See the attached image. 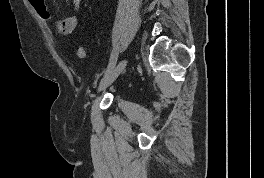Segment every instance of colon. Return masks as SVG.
I'll return each instance as SVG.
<instances>
[{"mask_svg": "<svg viewBox=\"0 0 264 178\" xmlns=\"http://www.w3.org/2000/svg\"><path fill=\"white\" fill-rule=\"evenodd\" d=\"M30 5L44 21H51L52 14L46 5L45 0H28ZM87 55V50L84 46H80L76 50V56L79 59H84Z\"/></svg>", "mask_w": 264, "mask_h": 178, "instance_id": "5ec220e1", "label": "colon"}]
</instances>
